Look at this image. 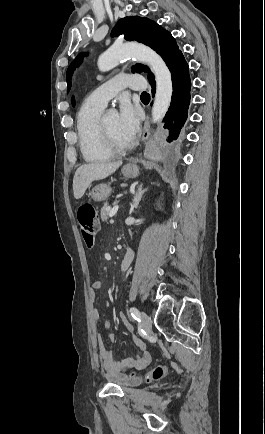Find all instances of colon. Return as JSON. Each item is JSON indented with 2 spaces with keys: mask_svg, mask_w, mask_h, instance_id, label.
<instances>
[{
  "mask_svg": "<svg viewBox=\"0 0 265 434\" xmlns=\"http://www.w3.org/2000/svg\"><path fill=\"white\" fill-rule=\"evenodd\" d=\"M76 217L84 245L91 247L95 242L98 232V213L90 203H85L77 208ZM167 373V366L158 365L147 373L146 378L148 381L160 380L164 378Z\"/></svg>",
  "mask_w": 265,
  "mask_h": 434,
  "instance_id": "1",
  "label": "colon"
}]
</instances>
